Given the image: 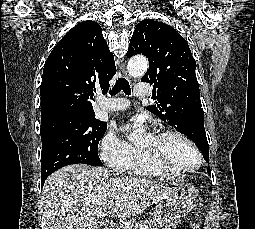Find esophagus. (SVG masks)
Segmentation results:
<instances>
[{
	"instance_id": "obj_1",
	"label": "esophagus",
	"mask_w": 255,
	"mask_h": 229,
	"mask_svg": "<svg viewBox=\"0 0 255 229\" xmlns=\"http://www.w3.org/2000/svg\"><path fill=\"white\" fill-rule=\"evenodd\" d=\"M120 70H121V72H122L124 78L127 79L129 82L132 83V79H131V77L129 76L127 70H126V66H125V63H124V62H121V64H120Z\"/></svg>"
}]
</instances>
